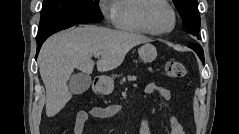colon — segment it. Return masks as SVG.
I'll return each instance as SVG.
<instances>
[{"instance_id": "5ec220e1", "label": "colon", "mask_w": 239, "mask_h": 134, "mask_svg": "<svg viewBox=\"0 0 239 134\" xmlns=\"http://www.w3.org/2000/svg\"><path fill=\"white\" fill-rule=\"evenodd\" d=\"M185 66L178 61H170L165 66V74L170 79H180L185 76Z\"/></svg>"}]
</instances>
